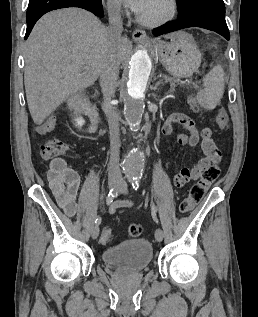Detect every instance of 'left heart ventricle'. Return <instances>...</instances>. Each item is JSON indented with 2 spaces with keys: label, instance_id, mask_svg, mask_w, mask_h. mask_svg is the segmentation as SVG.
I'll use <instances>...</instances> for the list:
<instances>
[{
  "label": "left heart ventricle",
  "instance_id": "1",
  "mask_svg": "<svg viewBox=\"0 0 258 317\" xmlns=\"http://www.w3.org/2000/svg\"><path fill=\"white\" fill-rule=\"evenodd\" d=\"M169 5L165 2H159L153 6L142 10L146 19L150 22H155L165 16L169 12Z\"/></svg>",
  "mask_w": 258,
  "mask_h": 317
}]
</instances>
